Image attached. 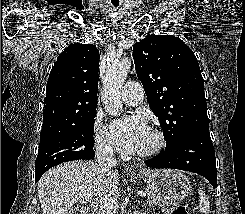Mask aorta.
<instances>
[{"label":"aorta","mask_w":245,"mask_h":214,"mask_svg":"<svg viewBox=\"0 0 245 214\" xmlns=\"http://www.w3.org/2000/svg\"><path fill=\"white\" fill-rule=\"evenodd\" d=\"M130 68L131 62L128 59L115 61L107 68L103 82L102 102L105 111L109 115H120L122 109L120 100L121 88Z\"/></svg>","instance_id":"obj_1"}]
</instances>
